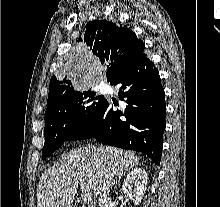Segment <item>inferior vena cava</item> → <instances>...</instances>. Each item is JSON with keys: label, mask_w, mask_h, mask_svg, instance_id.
Wrapping results in <instances>:
<instances>
[{"label": "inferior vena cava", "mask_w": 220, "mask_h": 207, "mask_svg": "<svg viewBox=\"0 0 220 207\" xmlns=\"http://www.w3.org/2000/svg\"><path fill=\"white\" fill-rule=\"evenodd\" d=\"M112 185V180L109 178H104L101 183L100 192H99V207H109V204L111 203L110 198V188Z\"/></svg>", "instance_id": "inferior-vena-cava-1"}]
</instances>
